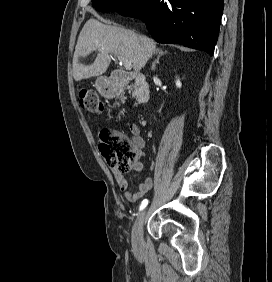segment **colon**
<instances>
[{
  "label": "colon",
  "mask_w": 272,
  "mask_h": 282,
  "mask_svg": "<svg viewBox=\"0 0 272 282\" xmlns=\"http://www.w3.org/2000/svg\"><path fill=\"white\" fill-rule=\"evenodd\" d=\"M79 103L88 112H103L99 96L90 89H82L79 92ZM98 140L102 157L111 168L120 173L128 172L139 158V150L134 148L132 142L116 130L101 129Z\"/></svg>",
  "instance_id": "1"
}]
</instances>
